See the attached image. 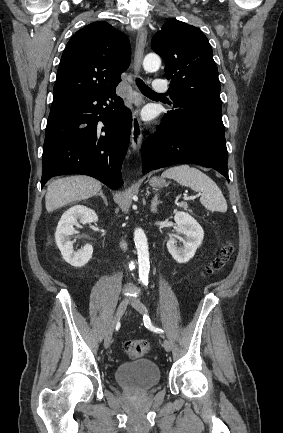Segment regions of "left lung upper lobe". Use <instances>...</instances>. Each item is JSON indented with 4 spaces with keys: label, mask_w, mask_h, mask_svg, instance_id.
Here are the masks:
<instances>
[{
    "label": "left lung upper lobe",
    "mask_w": 283,
    "mask_h": 433,
    "mask_svg": "<svg viewBox=\"0 0 283 433\" xmlns=\"http://www.w3.org/2000/svg\"><path fill=\"white\" fill-rule=\"evenodd\" d=\"M151 47L165 60L172 120H197L224 132L218 70L208 39L198 28L171 19L152 39Z\"/></svg>",
    "instance_id": "1"
}]
</instances>
